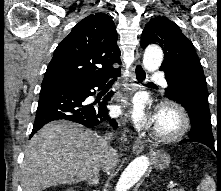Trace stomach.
<instances>
[{"label":"stomach","mask_w":221,"mask_h":191,"mask_svg":"<svg viewBox=\"0 0 221 191\" xmlns=\"http://www.w3.org/2000/svg\"><path fill=\"white\" fill-rule=\"evenodd\" d=\"M153 164L157 169H165L170 164V156L163 150H158L153 158Z\"/></svg>","instance_id":"stomach-1"}]
</instances>
